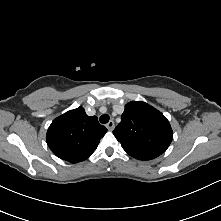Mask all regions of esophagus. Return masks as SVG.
Instances as JSON below:
<instances>
[{"mask_svg": "<svg viewBox=\"0 0 221 221\" xmlns=\"http://www.w3.org/2000/svg\"><path fill=\"white\" fill-rule=\"evenodd\" d=\"M106 127L108 130L112 131L115 127V123L113 120H110L107 124H106Z\"/></svg>", "mask_w": 221, "mask_h": 221, "instance_id": "obj_1", "label": "esophagus"}]
</instances>
